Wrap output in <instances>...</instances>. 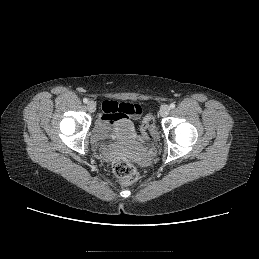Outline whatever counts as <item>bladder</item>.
Returning <instances> with one entry per match:
<instances>
[{
  "label": "bladder",
  "mask_w": 259,
  "mask_h": 259,
  "mask_svg": "<svg viewBox=\"0 0 259 259\" xmlns=\"http://www.w3.org/2000/svg\"><path fill=\"white\" fill-rule=\"evenodd\" d=\"M132 134V125L125 126L122 123H119L116 126V137L117 138H126Z\"/></svg>",
  "instance_id": "1"
}]
</instances>
